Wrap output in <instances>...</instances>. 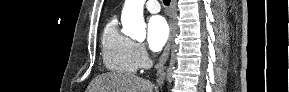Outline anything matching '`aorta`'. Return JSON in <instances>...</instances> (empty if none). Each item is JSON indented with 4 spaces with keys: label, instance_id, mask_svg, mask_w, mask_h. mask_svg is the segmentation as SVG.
<instances>
[{
    "label": "aorta",
    "instance_id": "obj_1",
    "mask_svg": "<svg viewBox=\"0 0 289 92\" xmlns=\"http://www.w3.org/2000/svg\"><path fill=\"white\" fill-rule=\"evenodd\" d=\"M145 0H125L121 21L123 32L135 39H144L146 24L143 17Z\"/></svg>",
    "mask_w": 289,
    "mask_h": 92
}]
</instances>
